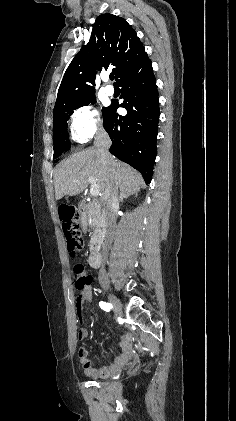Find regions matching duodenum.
<instances>
[{
    "label": "duodenum",
    "mask_w": 236,
    "mask_h": 421,
    "mask_svg": "<svg viewBox=\"0 0 236 421\" xmlns=\"http://www.w3.org/2000/svg\"><path fill=\"white\" fill-rule=\"evenodd\" d=\"M84 210H85V202L81 201L78 203L77 207L75 208V211L77 215L79 216V219L81 220L83 225H85L84 218H83ZM89 262L93 268L100 267L101 255L98 249L92 250L89 257ZM122 349H123V353L116 359L113 365L99 368V369L88 370L89 376L94 377V378H102V377H107L114 374L122 365H124L127 362L129 358L130 351H129V346L126 341L122 342Z\"/></svg>",
    "instance_id": "duodenum-1"
}]
</instances>
